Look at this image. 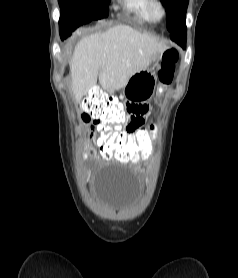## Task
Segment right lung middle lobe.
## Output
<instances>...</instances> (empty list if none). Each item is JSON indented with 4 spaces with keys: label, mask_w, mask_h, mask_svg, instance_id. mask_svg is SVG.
I'll return each instance as SVG.
<instances>
[{
    "label": "right lung middle lobe",
    "mask_w": 238,
    "mask_h": 278,
    "mask_svg": "<svg viewBox=\"0 0 238 278\" xmlns=\"http://www.w3.org/2000/svg\"><path fill=\"white\" fill-rule=\"evenodd\" d=\"M61 10L74 8L82 13L86 24L108 16V5L111 0H58Z\"/></svg>",
    "instance_id": "1"
}]
</instances>
